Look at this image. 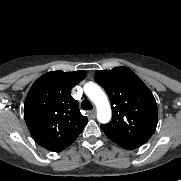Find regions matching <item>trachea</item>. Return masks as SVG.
<instances>
[{
  "mask_svg": "<svg viewBox=\"0 0 181 181\" xmlns=\"http://www.w3.org/2000/svg\"><path fill=\"white\" fill-rule=\"evenodd\" d=\"M81 107L84 110H91L93 108V106L89 100H83L81 103Z\"/></svg>",
  "mask_w": 181,
  "mask_h": 181,
  "instance_id": "trachea-1",
  "label": "trachea"
}]
</instances>
